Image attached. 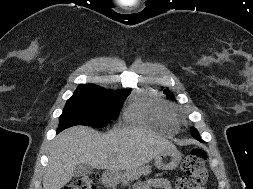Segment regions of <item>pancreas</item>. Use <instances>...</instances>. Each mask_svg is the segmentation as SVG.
Instances as JSON below:
<instances>
[{
	"label": "pancreas",
	"mask_w": 253,
	"mask_h": 189,
	"mask_svg": "<svg viewBox=\"0 0 253 189\" xmlns=\"http://www.w3.org/2000/svg\"><path fill=\"white\" fill-rule=\"evenodd\" d=\"M150 173V167H134L126 170L123 178V183L127 184L129 181L139 178L141 175Z\"/></svg>",
	"instance_id": "cf45deb5"
}]
</instances>
